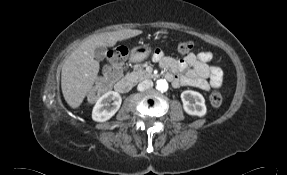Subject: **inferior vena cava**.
<instances>
[{
    "label": "inferior vena cava",
    "mask_w": 287,
    "mask_h": 175,
    "mask_svg": "<svg viewBox=\"0 0 287 175\" xmlns=\"http://www.w3.org/2000/svg\"><path fill=\"white\" fill-rule=\"evenodd\" d=\"M152 86H153L152 80L146 79V80L141 81L138 84L137 89L139 91H144V90H147V89L151 88Z\"/></svg>",
    "instance_id": "obj_1"
}]
</instances>
